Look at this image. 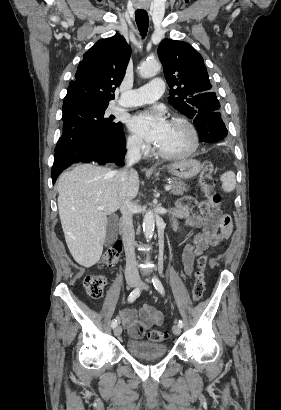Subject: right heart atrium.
<instances>
[{
	"mask_svg": "<svg viewBox=\"0 0 281 410\" xmlns=\"http://www.w3.org/2000/svg\"><path fill=\"white\" fill-rule=\"evenodd\" d=\"M127 147L129 150L141 154H147L150 150L149 145L136 134L129 135L127 138Z\"/></svg>",
	"mask_w": 281,
	"mask_h": 410,
	"instance_id": "1",
	"label": "right heart atrium"
}]
</instances>
